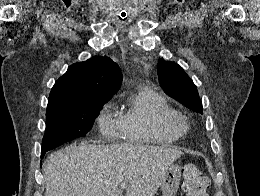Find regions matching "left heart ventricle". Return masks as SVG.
<instances>
[{"label":"left heart ventricle","instance_id":"left-heart-ventricle-1","mask_svg":"<svg viewBox=\"0 0 260 196\" xmlns=\"http://www.w3.org/2000/svg\"><path fill=\"white\" fill-rule=\"evenodd\" d=\"M157 112H158V111L155 109V110H154V113H157Z\"/></svg>","mask_w":260,"mask_h":196}]
</instances>
